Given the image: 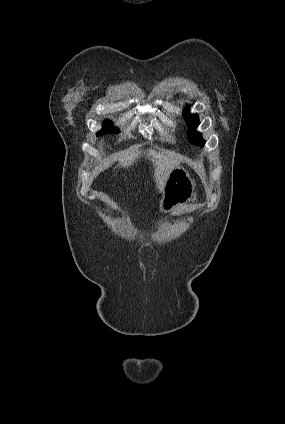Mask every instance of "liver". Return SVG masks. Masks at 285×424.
<instances>
[{"instance_id": "1", "label": "liver", "mask_w": 285, "mask_h": 424, "mask_svg": "<svg viewBox=\"0 0 285 424\" xmlns=\"http://www.w3.org/2000/svg\"><path fill=\"white\" fill-rule=\"evenodd\" d=\"M143 152L145 157L153 163L156 187L161 193L171 171L179 164L180 156L173 152L164 151L157 152L154 150H147ZM141 156H143L141 150L131 147L125 152L118 153L111 158L118 160L121 167L128 168L133 166Z\"/></svg>"}]
</instances>
